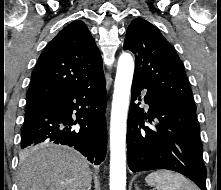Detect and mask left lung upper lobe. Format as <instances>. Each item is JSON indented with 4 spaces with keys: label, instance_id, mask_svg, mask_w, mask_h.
<instances>
[{
    "label": "left lung upper lobe",
    "instance_id": "left-lung-upper-lobe-1",
    "mask_svg": "<svg viewBox=\"0 0 221 190\" xmlns=\"http://www.w3.org/2000/svg\"><path fill=\"white\" fill-rule=\"evenodd\" d=\"M123 48L135 54L134 77L157 90L169 102L196 112L184 66L155 26L142 18L134 19L127 28Z\"/></svg>",
    "mask_w": 221,
    "mask_h": 190
}]
</instances>
